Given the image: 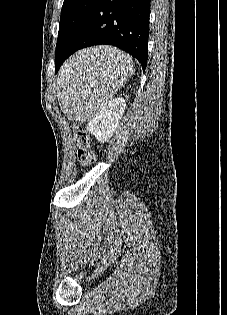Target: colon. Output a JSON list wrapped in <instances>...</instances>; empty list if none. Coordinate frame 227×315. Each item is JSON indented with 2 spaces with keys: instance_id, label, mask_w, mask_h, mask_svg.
<instances>
[{
  "instance_id": "5ec220e1",
  "label": "colon",
  "mask_w": 227,
  "mask_h": 315,
  "mask_svg": "<svg viewBox=\"0 0 227 315\" xmlns=\"http://www.w3.org/2000/svg\"><path fill=\"white\" fill-rule=\"evenodd\" d=\"M74 142L77 146V161L81 167H89L96 160L95 152L91 146V139L87 131L79 126L73 128Z\"/></svg>"
}]
</instances>
